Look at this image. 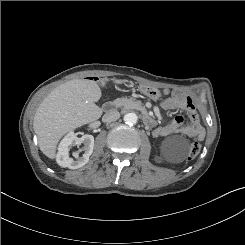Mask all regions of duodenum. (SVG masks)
<instances>
[{
  "mask_svg": "<svg viewBox=\"0 0 245 245\" xmlns=\"http://www.w3.org/2000/svg\"><path fill=\"white\" fill-rule=\"evenodd\" d=\"M116 106H117V103L116 102H109V103L106 104L105 109L107 111H113L116 108ZM143 120H144V123L147 126H152L153 120H152L151 116H149L148 114H146V115H144Z\"/></svg>",
  "mask_w": 245,
  "mask_h": 245,
  "instance_id": "obj_1",
  "label": "duodenum"
}]
</instances>
